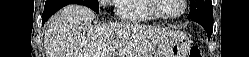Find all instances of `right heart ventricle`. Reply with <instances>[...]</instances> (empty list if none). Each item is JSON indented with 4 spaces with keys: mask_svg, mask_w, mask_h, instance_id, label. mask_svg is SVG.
<instances>
[{
    "mask_svg": "<svg viewBox=\"0 0 249 57\" xmlns=\"http://www.w3.org/2000/svg\"><path fill=\"white\" fill-rule=\"evenodd\" d=\"M116 5L120 17L127 21H152L157 18L149 9V0H119Z\"/></svg>",
    "mask_w": 249,
    "mask_h": 57,
    "instance_id": "e07e8e85",
    "label": "right heart ventricle"
}]
</instances>
